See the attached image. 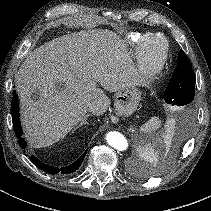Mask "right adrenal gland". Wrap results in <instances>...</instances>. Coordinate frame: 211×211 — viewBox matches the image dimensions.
I'll return each mask as SVG.
<instances>
[{
	"label": "right adrenal gland",
	"mask_w": 211,
	"mask_h": 211,
	"mask_svg": "<svg viewBox=\"0 0 211 211\" xmlns=\"http://www.w3.org/2000/svg\"><path fill=\"white\" fill-rule=\"evenodd\" d=\"M89 116H90L89 114L86 115L85 118L82 120V122H81L77 127H75L74 130H73L72 132H74L75 130H77V129H78L79 127H81V126L88 124L87 118H88Z\"/></svg>",
	"instance_id": "obj_1"
}]
</instances>
